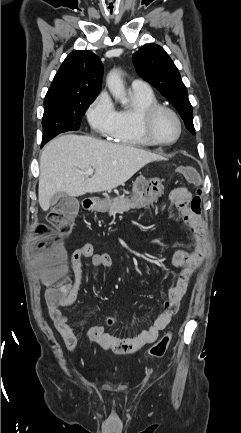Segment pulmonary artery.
I'll return each mask as SVG.
<instances>
[{"instance_id":"1","label":"pulmonary artery","mask_w":241,"mask_h":433,"mask_svg":"<svg viewBox=\"0 0 241 433\" xmlns=\"http://www.w3.org/2000/svg\"><path fill=\"white\" fill-rule=\"evenodd\" d=\"M131 89L138 92H150V85L142 79H134L131 82Z\"/></svg>"}]
</instances>
